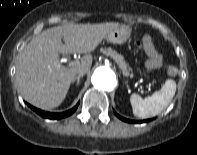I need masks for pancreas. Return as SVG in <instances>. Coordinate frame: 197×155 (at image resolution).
I'll use <instances>...</instances> for the list:
<instances>
[{
	"mask_svg": "<svg viewBox=\"0 0 197 155\" xmlns=\"http://www.w3.org/2000/svg\"><path fill=\"white\" fill-rule=\"evenodd\" d=\"M101 52L107 56H110L111 58L115 60L117 65L122 70L124 76L126 77L133 76V74L130 73L132 72V69L128 67V64L125 62L124 57L122 55L118 54L116 51L112 50L111 48L101 49Z\"/></svg>",
	"mask_w": 197,
	"mask_h": 155,
	"instance_id": "obj_1",
	"label": "pancreas"
}]
</instances>
